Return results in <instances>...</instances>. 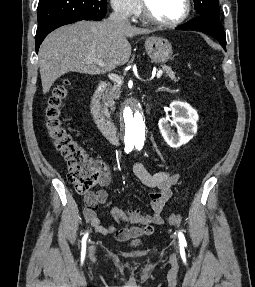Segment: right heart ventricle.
<instances>
[{"label":"right heart ventricle","mask_w":255,"mask_h":287,"mask_svg":"<svg viewBox=\"0 0 255 287\" xmlns=\"http://www.w3.org/2000/svg\"><path fill=\"white\" fill-rule=\"evenodd\" d=\"M128 33H145V32H128ZM136 39H147V38H136ZM152 39V38H150ZM162 48H169V47H162Z\"/></svg>","instance_id":"right-heart-ventricle-1"}]
</instances>
